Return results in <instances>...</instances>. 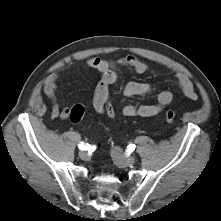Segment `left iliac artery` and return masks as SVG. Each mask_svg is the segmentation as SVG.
<instances>
[{"label":"left iliac artery","instance_id":"44dca946","mask_svg":"<svg viewBox=\"0 0 221 221\" xmlns=\"http://www.w3.org/2000/svg\"><path fill=\"white\" fill-rule=\"evenodd\" d=\"M135 145L134 144H130V145H128V150L129 151H134L135 150Z\"/></svg>","mask_w":221,"mask_h":221}]
</instances>
